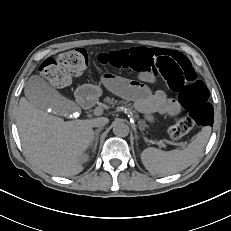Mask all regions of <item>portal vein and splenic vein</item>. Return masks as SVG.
I'll list each match as a JSON object with an SVG mask.
<instances>
[{"label":"portal vein and splenic vein","instance_id":"1","mask_svg":"<svg viewBox=\"0 0 231 231\" xmlns=\"http://www.w3.org/2000/svg\"><path fill=\"white\" fill-rule=\"evenodd\" d=\"M118 110H119V111H122L123 108H122V107H119ZM103 111H104L103 108H102L101 106H98V107H96V108L94 109L93 114L96 115V116H100V115L103 114ZM161 146L164 147V144H161ZM182 146H184V145H182Z\"/></svg>","mask_w":231,"mask_h":231}]
</instances>
